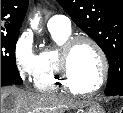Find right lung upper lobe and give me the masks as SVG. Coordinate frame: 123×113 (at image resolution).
Here are the masks:
<instances>
[{"label": "right lung upper lobe", "mask_w": 123, "mask_h": 113, "mask_svg": "<svg viewBox=\"0 0 123 113\" xmlns=\"http://www.w3.org/2000/svg\"><path fill=\"white\" fill-rule=\"evenodd\" d=\"M28 0H1V35L19 33Z\"/></svg>", "instance_id": "right-lung-upper-lobe-1"}]
</instances>
